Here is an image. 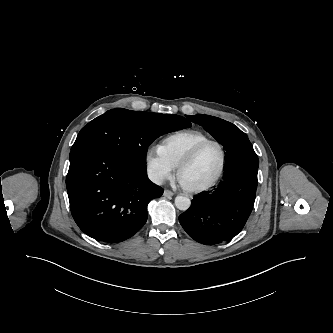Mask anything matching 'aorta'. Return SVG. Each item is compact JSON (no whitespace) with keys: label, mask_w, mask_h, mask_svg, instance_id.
<instances>
[{"label":"aorta","mask_w":333,"mask_h":333,"mask_svg":"<svg viewBox=\"0 0 333 333\" xmlns=\"http://www.w3.org/2000/svg\"><path fill=\"white\" fill-rule=\"evenodd\" d=\"M190 205L191 201L186 196L179 195L175 198V206L181 211H186L189 209Z\"/></svg>","instance_id":"obj_1"}]
</instances>
